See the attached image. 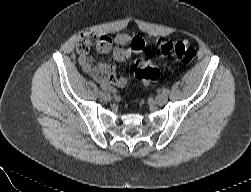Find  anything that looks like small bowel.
I'll use <instances>...</instances> for the list:
<instances>
[{
    "mask_svg": "<svg viewBox=\"0 0 251 192\" xmlns=\"http://www.w3.org/2000/svg\"><path fill=\"white\" fill-rule=\"evenodd\" d=\"M91 47H95L100 54L112 53L117 61L127 60L132 53H139L144 49V41L138 37L120 34L115 38L109 35L86 33L78 45L80 65L105 90L113 91L115 88L126 86L128 79L117 76L111 64L97 63L90 55Z\"/></svg>",
    "mask_w": 251,
    "mask_h": 192,
    "instance_id": "1",
    "label": "small bowel"
}]
</instances>
